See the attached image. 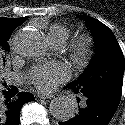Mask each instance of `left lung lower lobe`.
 Returning <instances> with one entry per match:
<instances>
[{
  "label": "left lung lower lobe",
  "mask_w": 125,
  "mask_h": 125,
  "mask_svg": "<svg viewBox=\"0 0 125 125\" xmlns=\"http://www.w3.org/2000/svg\"><path fill=\"white\" fill-rule=\"evenodd\" d=\"M120 99L121 94L115 92L83 96L84 105L79 108L76 116L59 122V125H107L116 112Z\"/></svg>",
  "instance_id": "left-lung-lower-lobe-1"
}]
</instances>
